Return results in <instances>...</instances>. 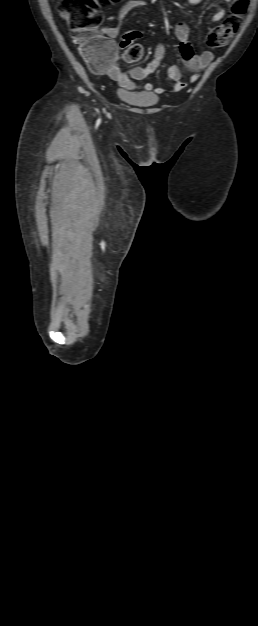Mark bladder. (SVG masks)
Here are the masks:
<instances>
[{
    "mask_svg": "<svg viewBox=\"0 0 258 626\" xmlns=\"http://www.w3.org/2000/svg\"><path fill=\"white\" fill-rule=\"evenodd\" d=\"M117 96L121 101L129 105L142 108L152 107L159 100L158 96L153 93L129 89H118Z\"/></svg>",
    "mask_w": 258,
    "mask_h": 626,
    "instance_id": "bladder-1",
    "label": "bladder"
}]
</instances>
